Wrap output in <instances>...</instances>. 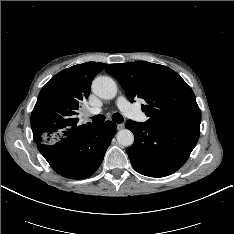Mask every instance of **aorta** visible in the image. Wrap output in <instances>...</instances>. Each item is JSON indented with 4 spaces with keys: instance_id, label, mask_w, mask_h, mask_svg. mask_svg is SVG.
Here are the masks:
<instances>
[{
    "instance_id": "aorta-1",
    "label": "aorta",
    "mask_w": 234,
    "mask_h": 234,
    "mask_svg": "<svg viewBox=\"0 0 234 234\" xmlns=\"http://www.w3.org/2000/svg\"><path fill=\"white\" fill-rule=\"evenodd\" d=\"M93 92L103 99H113L117 94L115 81L107 76H100L92 83ZM117 141L121 146L129 147L134 143V135L128 129L120 130L117 133Z\"/></svg>"
}]
</instances>
